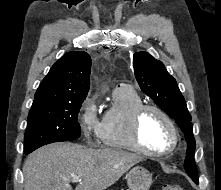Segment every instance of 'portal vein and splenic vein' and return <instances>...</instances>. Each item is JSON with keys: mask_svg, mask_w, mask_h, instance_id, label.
Returning <instances> with one entry per match:
<instances>
[{"mask_svg": "<svg viewBox=\"0 0 221 190\" xmlns=\"http://www.w3.org/2000/svg\"><path fill=\"white\" fill-rule=\"evenodd\" d=\"M72 182H81V178L78 176H74Z\"/></svg>", "mask_w": 221, "mask_h": 190, "instance_id": "portal-vein-and-splenic-vein-1", "label": "portal vein and splenic vein"}]
</instances>
